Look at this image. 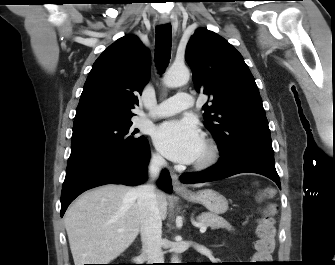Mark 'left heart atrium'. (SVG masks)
I'll return each instance as SVG.
<instances>
[{
  "label": "left heart atrium",
  "instance_id": "obj_1",
  "mask_svg": "<svg viewBox=\"0 0 335 265\" xmlns=\"http://www.w3.org/2000/svg\"><path fill=\"white\" fill-rule=\"evenodd\" d=\"M153 139L163 155L180 163L196 161L204 146L200 129L189 119L160 124L154 131Z\"/></svg>",
  "mask_w": 335,
  "mask_h": 265
}]
</instances>
